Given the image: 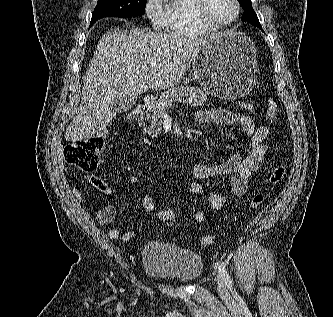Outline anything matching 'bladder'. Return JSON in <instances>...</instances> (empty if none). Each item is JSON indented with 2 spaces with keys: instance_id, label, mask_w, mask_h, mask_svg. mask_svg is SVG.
Wrapping results in <instances>:
<instances>
[{
  "instance_id": "bladder-1",
  "label": "bladder",
  "mask_w": 333,
  "mask_h": 317,
  "mask_svg": "<svg viewBox=\"0 0 333 317\" xmlns=\"http://www.w3.org/2000/svg\"><path fill=\"white\" fill-rule=\"evenodd\" d=\"M145 271L157 278L178 283L197 280L203 271V259L195 251L160 244H148L142 251Z\"/></svg>"
}]
</instances>
